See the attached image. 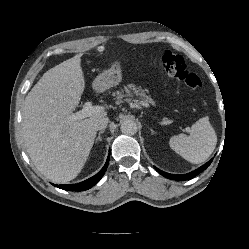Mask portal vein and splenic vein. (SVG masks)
Instances as JSON below:
<instances>
[{
  "mask_svg": "<svg viewBox=\"0 0 249 249\" xmlns=\"http://www.w3.org/2000/svg\"><path fill=\"white\" fill-rule=\"evenodd\" d=\"M101 112H104V107L93 106L91 102H86L83 105V109L70 115L69 119L72 121H78L99 114Z\"/></svg>",
  "mask_w": 249,
  "mask_h": 249,
  "instance_id": "18ae733b",
  "label": "portal vein and splenic vein"
}]
</instances>
